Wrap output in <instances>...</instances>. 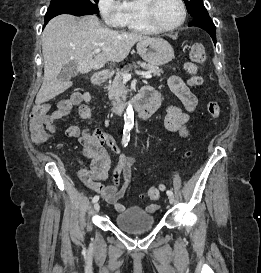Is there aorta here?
<instances>
[{
	"label": "aorta",
	"instance_id": "1",
	"mask_svg": "<svg viewBox=\"0 0 261 273\" xmlns=\"http://www.w3.org/2000/svg\"><path fill=\"white\" fill-rule=\"evenodd\" d=\"M125 128L131 129L134 126V111L133 107L129 105L124 114Z\"/></svg>",
	"mask_w": 261,
	"mask_h": 273
}]
</instances>
